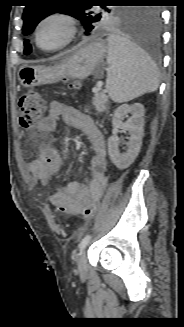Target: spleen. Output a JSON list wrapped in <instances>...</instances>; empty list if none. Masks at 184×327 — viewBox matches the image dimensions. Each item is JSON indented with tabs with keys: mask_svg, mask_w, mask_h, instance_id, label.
<instances>
[{
	"mask_svg": "<svg viewBox=\"0 0 184 327\" xmlns=\"http://www.w3.org/2000/svg\"><path fill=\"white\" fill-rule=\"evenodd\" d=\"M107 41L109 74L106 90L109 97L122 103L156 91L159 73L147 53L120 35L111 34Z\"/></svg>",
	"mask_w": 184,
	"mask_h": 327,
	"instance_id": "3e777b00",
	"label": "spleen"
}]
</instances>
